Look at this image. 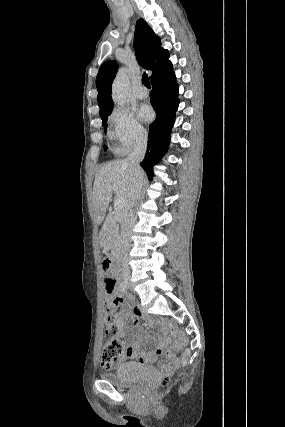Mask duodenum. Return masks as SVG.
I'll list each match as a JSON object with an SVG mask.
<instances>
[{
    "label": "duodenum",
    "mask_w": 285,
    "mask_h": 427,
    "mask_svg": "<svg viewBox=\"0 0 285 427\" xmlns=\"http://www.w3.org/2000/svg\"><path fill=\"white\" fill-rule=\"evenodd\" d=\"M106 230H110V231L114 230V225H113V224H111L107 229L102 228V229L100 230L99 239H100V242H101L102 244H105V232H106Z\"/></svg>",
    "instance_id": "410a0bca"
}]
</instances>
